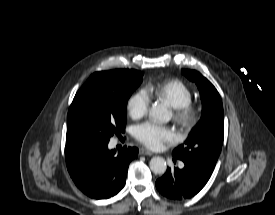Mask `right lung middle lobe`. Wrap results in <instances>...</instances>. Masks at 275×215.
Here are the masks:
<instances>
[{
	"mask_svg": "<svg viewBox=\"0 0 275 215\" xmlns=\"http://www.w3.org/2000/svg\"><path fill=\"white\" fill-rule=\"evenodd\" d=\"M142 76V72L128 69L92 74L69 108L66 144L106 142L124 131L127 100L142 82Z\"/></svg>",
	"mask_w": 275,
	"mask_h": 215,
	"instance_id": "dd1d6c3e",
	"label": "right lung middle lobe"
}]
</instances>
